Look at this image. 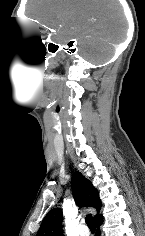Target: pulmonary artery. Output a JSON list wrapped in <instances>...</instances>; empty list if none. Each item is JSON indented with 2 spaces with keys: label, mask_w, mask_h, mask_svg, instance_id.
I'll return each instance as SVG.
<instances>
[{
  "label": "pulmonary artery",
  "mask_w": 145,
  "mask_h": 236,
  "mask_svg": "<svg viewBox=\"0 0 145 236\" xmlns=\"http://www.w3.org/2000/svg\"><path fill=\"white\" fill-rule=\"evenodd\" d=\"M78 234H79V236H89L90 232H89V229L87 228V226L82 224L79 227Z\"/></svg>",
  "instance_id": "1"
}]
</instances>
